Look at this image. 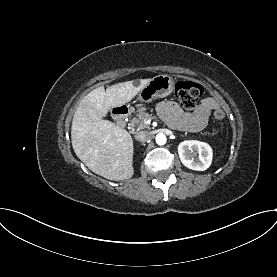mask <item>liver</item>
<instances>
[{
  "mask_svg": "<svg viewBox=\"0 0 277 277\" xmlns=\"http://www.w3.org/2000/svg\"><path fill=\"white\" fill-rule=\"evenodd\" d=\"M151 79L108 87L100 86L79 103L71 126L72 146L77 157L95 174L120 181L130 179L133 169V140L123 128L103 117L111 107L131 101Z\"/></svg>",
  "mask_w": 277,
  "mask_h": 277,
  "instance_id": "liver-1",
  "label": "liver"
}]
</instances>
